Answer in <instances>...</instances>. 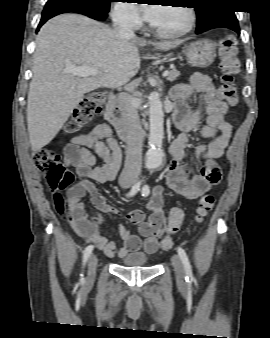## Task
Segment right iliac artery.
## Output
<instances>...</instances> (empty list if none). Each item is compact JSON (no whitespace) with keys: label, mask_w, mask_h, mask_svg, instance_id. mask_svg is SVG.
Returning a JSON list of instances; mask_svg holds the SVG:
<instances>
[{"label":"right iliac artery","mask_w":270,"mask_h":338,"mask_svg":"<svg viewBox=\"0 0 270 338\" xmlns=\"http://www.w3.org/2000/svg\"><path fill=\"white\" fill-rule=\"evenodd\" d=\"M140 187H141V182H136L131 190L126 194L127 197H132L134 196L139 190H140ZM93 251V245H89L85 251H84V254H83V263L84 265L86 264V262L88 261V258L90 257L91 253ZM84 282V277H83V274L81 275V278H80V283H83Z\"/></svg>","instance_id":"82829eb1"}]
</instances>
